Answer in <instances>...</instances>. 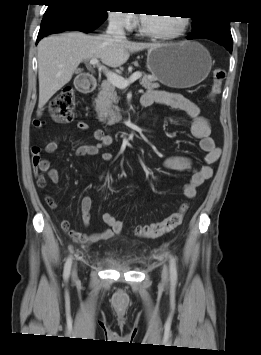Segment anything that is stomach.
Segmentation results:
<instances>
[{
  "instance_id": "0dacf381",
  "label": "stomach",
  "mask_w": 261,
  "mask_h": 355,
  "mask_svg": "<svg viewBox=\"0 0 261 355\" xmlns=\"http://www.w3.org/2000/svg\"><path fill=\"white\" fill-rule=\"evenodd\" d=\"M147 67L155 79L173 88H189L210 73L208 50L195 41L160 44L147 53Z\"/></svg>"
}]
</instances>
